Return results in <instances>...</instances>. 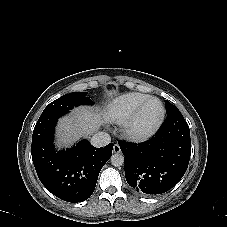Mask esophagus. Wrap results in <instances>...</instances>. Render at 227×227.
I'll list each match as a JSON object with an SVG mask.
<instances>
[{
    "label": "esophagus",
    "instance_id": "1",
    "mask_svg": "<svg viewBox=\"0 0 227 227\" xmlns=\"http://www.w3.org/2000/svg\"><path fill=\"white\" fill-rule=\"evenodd\" d=\"M113 152L114 153H120L121 152L120 146L118 144H115L114 145Z\"/></svg>",
    "mask_w": 227,
    "mask_h": 227
}]
</instances>
